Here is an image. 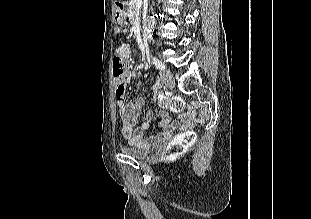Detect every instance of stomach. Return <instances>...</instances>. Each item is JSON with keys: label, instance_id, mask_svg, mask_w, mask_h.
<instances>
[{"label": "stomach", "instance_id": "1", "mask_svg": "<svg viewBox=\"0 0 311 219\" xmlns=\"http://www.w3.org/2000/svg\"><path fill=\"white\" fill-rule=\"evenodd\" d=\"M115 19L117 20L119 24H123L126 21V15L123 13H120V14L117 13L115 16Z\"/></svg>", "mask_w": 311, "mask_h": 219}]
</instances>
